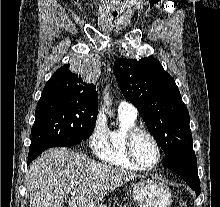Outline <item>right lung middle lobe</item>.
I'll return each mask as SVG.
<instances>
[{"label": "right lung middle lobe", "instance_id": "right-lung-middle-lobe-1", "mask_svg": "<svg viewBox=\"0 0 220 207\" xmlns=\"http://www.w3.org/2000/svg\"><path fill=\"white\" fill-rule=\"evenodd\" d=\"M98 104L66 93H42L31 129L30 152L73 146L93 132Z\"/></svg>", "mask_w": 220, "mask_h": 207}]
</instances>
